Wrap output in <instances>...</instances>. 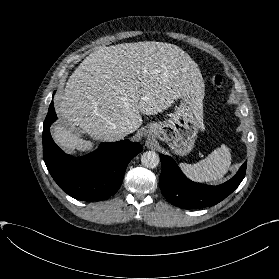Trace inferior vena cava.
Returning <instances> with one entry per match:
<instances>
[{
    "instance_id": "obj_1",
    "label": "inferior vena cava",
    "mask_w": 279,
    "mask_h": 279,
    "mask_svg": "<svg viewBox=\"0 0 279 279\" xmlns=\"http://www.w3.org/2000/svg\"><path fill=\"white\" fill-rule=\"evenodd\" d=\"M132 132H133V129H132L131 126L122 127V128H121V133H122L124 136H126V135H128V134H130V133H132Z\"/></svg>"
}]
</instances>
